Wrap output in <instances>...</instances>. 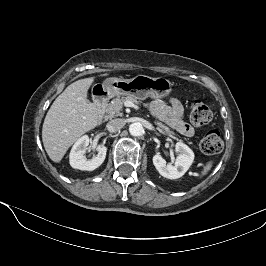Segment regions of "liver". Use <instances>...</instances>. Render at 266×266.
Masks as SVG:
<instances>
[{
    "mask_svg": "<svg viewBox=\"0 0 266 266\" xmlns=\"http://www.w3.org/2000/svg\"><path fill=\"white\" fill-rule=\"evenodd\" d=\"M103 74L100 76H106ZM95 77L70 84L53 102L45 117L42 141L50 159L59 163L69 147L98 124L96 107L88 100Z\"/></svg>",
    "mask_w": 266,
    "mask_h": 266,
    "instance_id": "1",
    "label": "liver"
}]
</instances>
